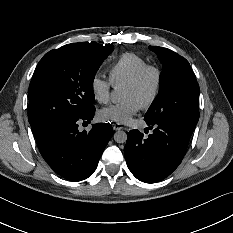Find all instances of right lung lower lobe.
<instances>
[{
    "label": "right lung lower lobe",
    "instance_id": "obj_1",
    "mask_svg": "<svg viewBox=\"0 0 233 233\" xmlns=\"http://www.w3.org/2000/svg\"><path fill=\"white\" fill-rule=\"evenodd\" d=\"M95 107L80 117L32 127L39 151L54 172L70 181L88 178L113 135L109 123L94 124L87 133L79 124L93 119Z\"/></svg>",
    "mask_w": 233,
    "mask_h": 233
}]
</instances>
